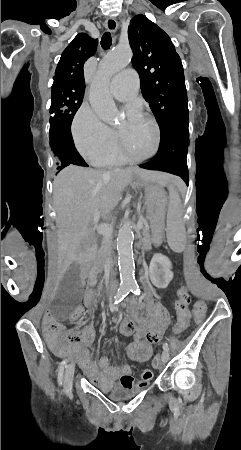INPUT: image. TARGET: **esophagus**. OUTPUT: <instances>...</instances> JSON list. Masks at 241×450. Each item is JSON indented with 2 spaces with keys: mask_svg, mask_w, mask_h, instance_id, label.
Segmentation results:
<instances>
[{
  "mask_svg": "<svg viewBox=\"0 0 241 450\" xmlns=\"http://www.w3.org/2000/svg\"><path fill=\"white\" fill-rule=\"evenodd\" d=\"M104 25L108 32L112 33H115L118 28V24L114 18H107Z\"/></svg>",
  "mask_w": 241,
  "mask_h": 450,
  "instance_id": "34e87169",
  "label": "esophagus"
}]
</instances>
